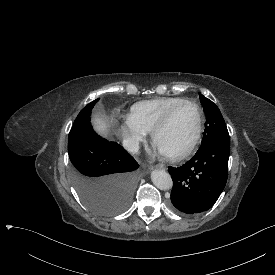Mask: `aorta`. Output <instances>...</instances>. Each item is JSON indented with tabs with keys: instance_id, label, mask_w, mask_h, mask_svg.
<instances>
[{
	"instance_id": "762f6f07",
	"label": "aorta",
	"mask_w": 275,
	"mask_h": 275,
	"mask_svg": "<svg viewBox=\"0 0 275 275\" xmlns=\"http://www.w3.org/2000/svg\"><path fill=\"white\" fill-rule=\"evenodd\" d=\"M153 184L162 190L170 189L172 186V179L170 175L162 169H153L150 173Z\"/></svg>"
}]
</instances>
